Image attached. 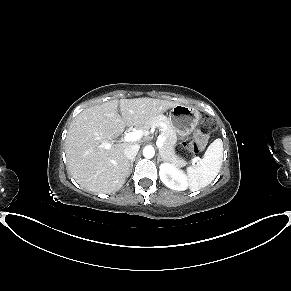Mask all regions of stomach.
Masks as SVG:
<instances>
[{
    "instance_id": "0dacf381",
    "label": "stomach",
    "mask_w": 291,
    "mask_h": 291,
    "mask_svg": "<svg viewBox=\"0 0 291 291\" xmlns=\"http://www.w3.org/2000/svg\"><path fill=\"white\" fill-rule=\"evenodd\" d=\"M200 118L201 115L195 108L181 104L173 107L169 113L170 125L180 136L191 134Z\"/></svg>"
}]
</instances>
